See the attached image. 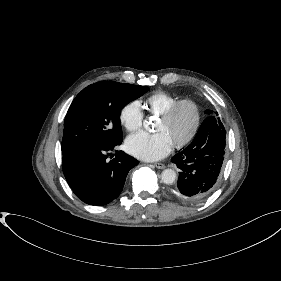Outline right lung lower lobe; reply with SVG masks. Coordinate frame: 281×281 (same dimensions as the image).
I'll list each match as a JSON object with an SVG mask.
<instances>
[{
    "label": "right lung lower lobe",
    "mask_w": 281,
    "mask_h": 281,
    "mask_svg": "<svg viewBox=\"0 0 281 281\" xmlns=\"http://www.w3.org/2000/svg\"><path fill=\"white\" fill-rule=\"evenodd\" d=\"M122 140L110 145L80 147L62 158L64 176L76 196L84 203L103 206L123 190L126 176L139 161L123 151L107 157ZM113 157V156H111Z\"/></svg>",
    "instance_id": "obj_1"
}]
</instances>
